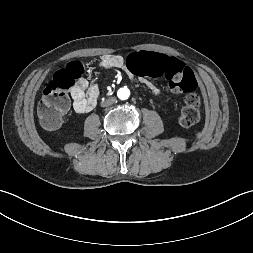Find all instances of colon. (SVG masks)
Here are the masks:
<instances>
[{"instance_id": "colon-1", "label": "colon", "mask_w": 253, "mask_h": 253, "mask_svg": "<svg viewBox=\"0 0 253 253\" xmlns=\"http://www.w3.org/2000/svg\"><path fill=\"white\" fill-rule=\"evenodd\" d=\"M127 66L137 75L167 79L172 89L185 94L184 106L177 120L183 127H191L200 120V98L195 93L197 81L192 70L175 57L151 51H133L127 57ZM84 73L79 62L70 63L57 71L43 90L37 106L41 124L47 129L57 128L69 109V91Z\"/></svg>"}]
</instances>
